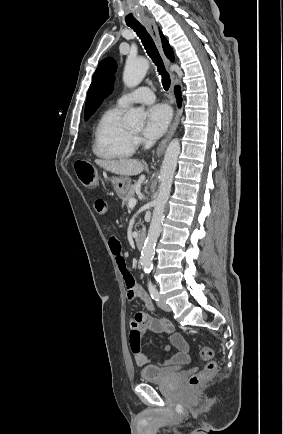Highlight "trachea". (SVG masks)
I'll return each mask as SVG.
<instances>
[{
	"label": "trachea",
	"instance_id": "3493384b",
	"mask_svg": "<svg viewBox=\"0 0 283 434\" xmlns=\"http://www.w3.org/2000/svg\"><path fill=\"white\" fill-rule=\"evenodd\" d=\"M127 25L131 27L141 39L147 54L152 59L153 63L157 66V70L161 75L163 88L167 91L170 87V76L165 69L163 60L156 48L152 37L146 31L145 27L142 26L139 22L128 23Z\"/></svg>",
	"mask_w": 283,
	"mask_h": 434
}]
</instances>
